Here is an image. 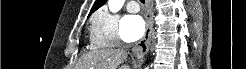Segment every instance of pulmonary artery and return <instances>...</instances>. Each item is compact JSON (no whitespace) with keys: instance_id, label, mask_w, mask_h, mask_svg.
<instances>
[{"instance_id":"e3ab8cb5","label":"pulmonary artery","mask_w":246,"mask_h":69,"mask_svg":"<svg viewBox=\"0 0 246 69\" xmlns=\"http://www.w3.org/2000/svg\"><path fill=\"white\" fill-rule=\"evenodd\" d=\"M127 10L129 12H132V13L138 12V10H139L138 4L135 1L128 2L127 3Z\"/></svg>"}]
</instances>
